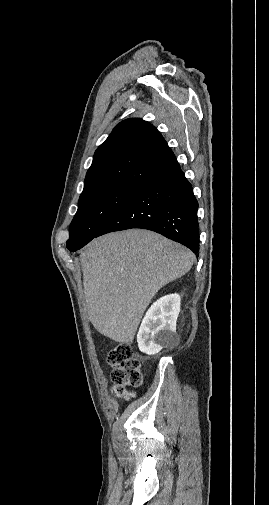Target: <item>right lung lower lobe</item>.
<instances>
[{
	"instance_id": "obj_1",
	"label": "right lung lower lobe",
	"mask_w": 269,
	"mask_h": 505,
	"mask_svg": "<svg viewBox=\"0 0 269 505\" xmlns=\"http://www.w3.org/2000/svg\"><path fill=\"white\" fill-rule=\"evenodd\" d=\"M198 202L178 162L139 187L97 235L131 228L155 231L198 256Z\"/></svg>"
}]
</instances>
